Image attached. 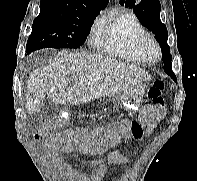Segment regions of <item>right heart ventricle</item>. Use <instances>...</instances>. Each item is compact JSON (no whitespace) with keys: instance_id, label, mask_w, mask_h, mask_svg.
Here are the masks:
<instances>
[{"instance_id":"1","label":"right heart ventricle","mask_w":197,"mask_h":181,"mask_svg":"<svg viewBox=\"0 0 197 181\" xmlns=\"http://www.w3.org/2000/svg\"><path fill=\"white\" fill-rule=\"evenodd\" d=\"M145 29L138 17L130 11H119L100 20L94 36L93 48L109 57L143 64L145 59L137 42Z\"/></svg>"}]
</instances>
